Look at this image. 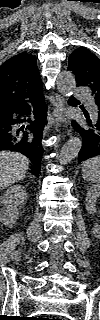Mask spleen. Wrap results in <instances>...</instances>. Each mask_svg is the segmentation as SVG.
I'll return each mask as SVG.
<instances>
[{
  "instance_id": "1",
  "label": "spleen",
  "mask_w": 100,
  "mask_h": 320,
  "mask_svg": "<svg viewBox=\"0 0 100 320\" xmlns=\"http://www.w3.org/2000/svg\"><path fill=\"white\" fill-rule=\"evenodd\" d=\"M83 179L92 183L100 182V157H93L82 164Z\"/></svg>"
}]
</instances>
